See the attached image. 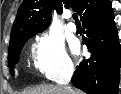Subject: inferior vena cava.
Segmentation results:
<instances>
[{
	"mask_svg": "<svg viewBox=\"0 0 121 94\" xmlns=\"http://www.w3.org/2000/svg\"><path fill=\"white\" fill-rule=\"evenodd\" d=\"M74 72V66L72 63L68 64L64 70V78L62 81V85L64 90L66 91V94H71L72 89L68 86V83L71 80V77L73 75Z\"/></svg>",
	"mask_w": 121,
	"mask_h": 94,
	"instance_id": "obj_1",
	"label": "inferior vena cava"
}]
</instances>
